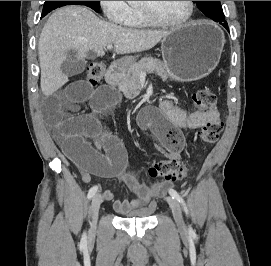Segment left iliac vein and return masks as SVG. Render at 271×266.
I'll list each match as a JSON object with an SVG mask.
<instances>
[{"label": "left iliac vein", "instance_id": "left-iliac-vein-1", "mask_svg": "<svg viewBox=\"0 0 271 266\" xmlns=\"http://www.w3.org/2000/svg\"><path fill=\"white\" fill-rule=\"evenodd\" d=\"M166 200L171 208V211H172V214H173V217L178 229L180 231H185L186 226L183 220L182 209H181L180 204L173 197H167Z\"/></svg>", "mask_w": 271, "mask_h": 266}]
</instances>
